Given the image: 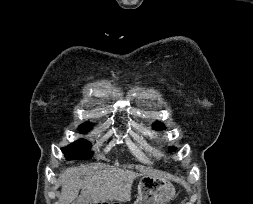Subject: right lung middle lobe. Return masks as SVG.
<instances>
[{
	"instance_id": "right-lung-middle-lobe-1",
	"label": "right lung middle lobe",
	"mask_w": 253,
	"mask_h": 204,
	"mask_svg": "<svg viewBox=\"0 0 253 204\" xmlns=\"http://www.w3.org/2000/svg\"><path fill=\"white\" fill-rule=\"evenodd\" d=\"M91 129L90 123H85L80 126V130L85 133ZM90 144L87 141L78 140L67 147L62 148V152L67 156V159H88L91 156Z\"/></svg>"
}]
</instances>
